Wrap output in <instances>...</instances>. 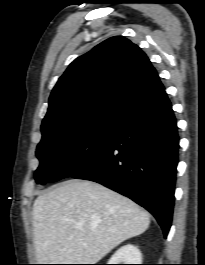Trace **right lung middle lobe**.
<instances>
[{"mask_svg": "<svg viewBox=\"0 0 205 265\" xmlns=\"http://www.w3.org/2000/svg\"><path fill=\"white\" fill-rule=\"evenodd\" d=\"M119 124L97 122L66 132H42L35 180L44 185L72 176L91 162L116 136Z\"/></svg>", "mask_w": 205, "mask_h": 265, "instance_id": "right-lung-middle-lobe-1", "label": "right lung middle lobe"}]
</instances>
